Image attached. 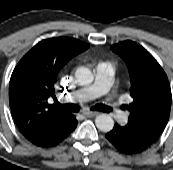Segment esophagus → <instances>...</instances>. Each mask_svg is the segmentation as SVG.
Here are the masks:
<instances>
[{"label":"esophagus","instance_id":"1","mask_svg":"<svg viewBox=\"0 0 173 170\" xmlns=\"http://www.w3.org/2000/svg\"><path fill=\"white\" fill-rule=\"evenodd\" d=\"M83 114L87 117H94L97 116L99 113L97 111H85Z\"/></svg>","mask_w":173,"mask_h":170}]
</instances>
